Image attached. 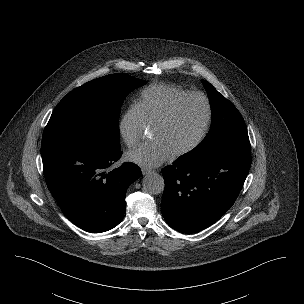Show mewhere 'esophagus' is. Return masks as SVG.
<instances>
[{
    "label": "esophagus",
    "instance_id": "esophagus-1",
    "mask_svg": "<svg viewBox=\"0 0 304 304\" xmlns=\"http://www.w3.org/2000/svg\"><path fill=\"white\" fill-rule=\"evenodd\" d=\"M141 172H142L143 175H147V174H150L152 172V170L147 169V168H142Z\"/></svg>",
    "mask_w": 304,
    "mask_h": 304
}]
</instances>
